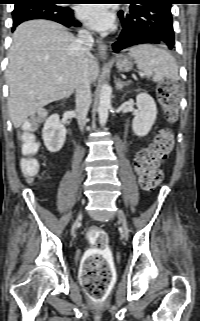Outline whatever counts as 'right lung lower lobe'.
Segmentation results:
<instances>
[{"label":"right lung lower lobe","mask_w":200,"mask_h":321,"mask_svg":"<svg viewBox=\"0 0 200 321\" xmlns=\"http://www.w3.org/2000/svg\"><path fill=\"white\" fill-rule=\"evenodd\" d=\"M12 31L24 21L32 19H47L58 22L67 27L81 26L75 17L73 10L62 7L51 0H33L26 4L17 5L12 12Z\"/></svg>","instance_id":"right-lung-lower-lobe-1"}]
</instances>
